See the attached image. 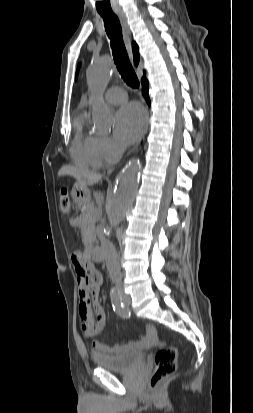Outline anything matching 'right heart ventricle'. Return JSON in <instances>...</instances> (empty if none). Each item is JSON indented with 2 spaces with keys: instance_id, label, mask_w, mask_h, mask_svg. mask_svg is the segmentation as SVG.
<instances>
[{
  "instance_id": "right-heart-ventricle-1",
  "label": "right heart ventricle",
  "mask_w": 253,
  "mask_h": 413,
  "mask_svg": "<svg viewBox=\"0 0 253 413\" xmlns=\"http://www.w3.org/2000/svg\"><path fill=\"white\" fill-rule=\"evenodd\" d=\"M87 115L80 114L74 121V140L71 147V155L75 163L99 168L103 164V158L98 148V136L86 130Z\"/></svg>"
}]
</instances>
